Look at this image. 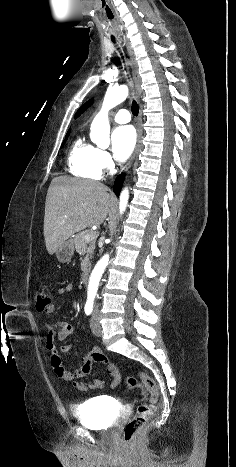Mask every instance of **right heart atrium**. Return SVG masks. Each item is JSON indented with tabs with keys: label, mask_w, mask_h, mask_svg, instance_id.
<instances>
[{
	"label": "right heart atrium",
	"mask_w": 236,
	"mask_h": 467,
	"mask_svg": "<svg viewBox=\"0 0 236 467\" xmlns=\"http://www.w3.org/2000/svg\"><path fill=\"white\" fill-rule=\"evenodd\" d=\"M96 163L101 171L107 172L114 168V161L110 153L104 149H96Z\"/></svg>",
	"instance_id": "d8ad5b80"
}]
</instances>
